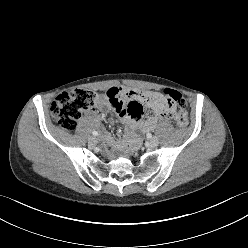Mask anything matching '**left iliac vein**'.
<instances>
[{"mask_svg":"<svg viewBox=\"0 0 248 248\" xmlns=\"http://www.w3.org/2000/svg\"><path fill=\"white\" fill-rule=\"evenodd\" d=\"M149 143L152 147H155L158 145L159 143V139L157 137H152L150 140H149Z\"/></svg>","mask_w":248,"mask_h":248,"instance_id":"obj_1","label":"left iliac vein"}]
</instances>
